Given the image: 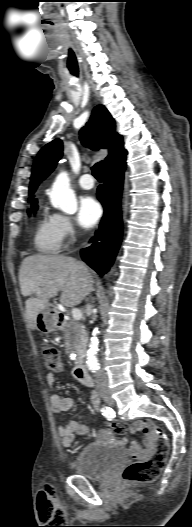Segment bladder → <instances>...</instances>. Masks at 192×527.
<instances>
[{"label":"bladder","instance_id":"31cf9c89","mask_svg":"<svg viewBox=\"0 0 192 527\" xmlns=\"http://www.w3.org/2000/svg\"><path fill=\"white\" fill-rule=\"evenodd\" d=\"M125 451L114 445L93 443L81 450L73 461L76 474L100 480L126 460Z\"/></svg>","mask_w":192,"mask_h":527}]
</instances>
